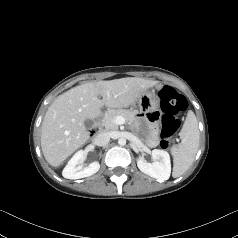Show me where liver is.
Segmentation results:
<instances>
[{
	"mask_svg": "<svg viewBox=\"0 0 238 238\" xmlns=\"http://www.w3.org/2000/svg\"><path fill=\"white\" fill-rule=\"evenodd\" d=\"M158 82L127 77L89 82L59 95L49 106L41 127V148L46 161L59 166L90 137L84 122L99 116L103 106L124 108ZM102 96L99 99L98 96Z\"/></svg>",
	"mask_w": 238,
	"mask_h": 238,
	"instance_id": "6515ba94",
	"label": "liver"
}]
</instances>
